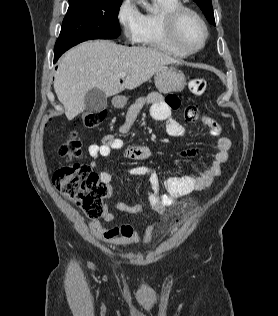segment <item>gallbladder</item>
I'll return each instance as SVG.
<instances>
[{
	"label": "gallbladder",
	"instance_id": "1",
	"mask_svg": "<svg viewBox=\"0 0 278 316\" xmlns=\"http://www.w3.org/2000/svg\"><path fill=\"white\" fill-rule=\"evenodd\" d=\"M84 105L87 113L103 111L107 107V97L100 89L93 88L86 93Z\"/></svg>",
	"mask_w": 278,
	"mask_h": 316
}]
</instances>
